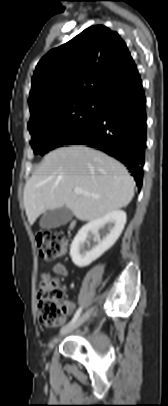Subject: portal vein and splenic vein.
I'll list each match as a JSON object with an SVG mask.
<instances>
[{
  "label": "portal vein and splenic vein",
  "mask_w": 168,
  "mask_h": 406,
  "mask_svg": "<svg viewBox=\"0 0 168 406\" xmlns=\"http://www.w3.org/2000/svg\"><path fill=\"white\" fill-rule=\"evenodd\" d=\"M74 193L75 194H84V195H87V196L91 195V196H93L95 198L98 197L97 195L86 192V191H84V190H82L81 188H78V187L74 188Z\"/></svg>",
  "instance_id": "portal-vein-and-splenic-vein-1"
}]
</instances>
